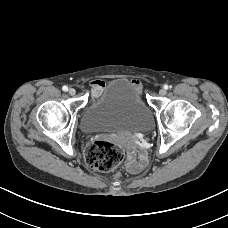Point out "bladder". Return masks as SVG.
<instances>
[{
    "instance_id": "bladder-1",
    "label": "bladder",
    "mask_w": 228,
    "mask_h": 228,
    "mask_svg": "<svg viewBox=\"0 0 228 228\" xmlns=\"http://www.w3.org/2000/svg\"><path fill=\"white\" fill-rule=\"evenodd\" d=\"M154 126L151 110L139 87L126 78L109 82L88 103L80 118L86 134L149 132Z\"/></svg>"
}]
</instances>
